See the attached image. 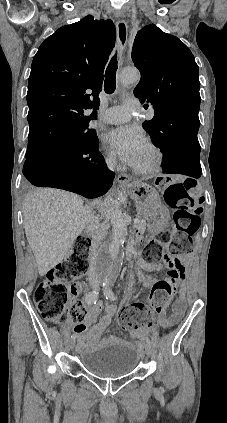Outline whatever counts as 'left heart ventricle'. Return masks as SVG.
<instances>
[{
    "instance_id": "1",
    "label": "left heart ventricle",
    "mask_w": 227,
    "mask_h": 423,
    "mask_svg": "<svg viewBox=\"0 0 227 423\" xmlns=\"http://www.w3.org/2000/svg\"><path fill=\"white\" fill-rule=\"evenodd\" d=\"M153 160H154V153L148 146H146L143 149V151L140 155L139 161L136 164V166L146 167V166L150 165L153 162Z\"/></svg>"
}]
</instances>
